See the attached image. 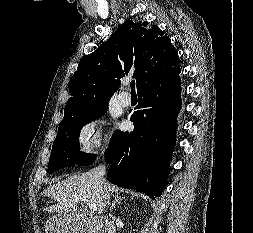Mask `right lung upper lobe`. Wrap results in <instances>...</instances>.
Instances as JSON below:
<instances>
[{
	"label": "right lung upper lobe",
	"mask_w": 253,
	"mask_h": 233,
	"mask_svg": "<svg viewBox=\"0 0 253 233\" xmlns=\"http://www.w3.org/2000/svg\"><path fill=\"white\" fill-rule=\"evenodd\" d=\"M178 64L171 40L157 26L127 20L106 42L80 60L69 81L71 98L65 106L64 118L108 102L118 90L120 79L129 72H133L138 91Z\"/></svg>",
	"instance_id": "1"
}]
</instances>
